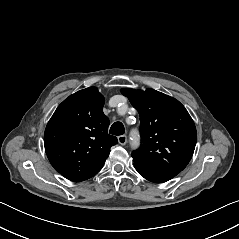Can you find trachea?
<instances>
[{"label":"trachea","mask_w":239,"mask_h":239,"mask_svg":"<svg viewBox=\"0 0 239 239\" xmlns=\"http://www.w3.org/2000/svg\"><path fill=\"white\" fill-rule=\"evenodd\" d=\"M124 132V125L121 122L113 123L109 130V133L112 135H123Z\"/></svg>","instance_id":"1"}]
</instances>
